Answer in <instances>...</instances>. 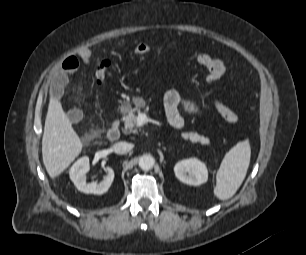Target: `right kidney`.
I'll use <instances>...</instances> for the list:
<instances>
[{
	"label": "right kidney",
	"instance_id": "1",
	"mask_svg": "<svg viewBox=\"0 0 306 255\" xmlns=\"http://www.w3.org/2000/svg\"><path fill=\"white\" fill-rule=\"evenodd\" d=\"M90 169L89 158L84 156L78 159L70 169V179L73 181L76 188L83 193H91L101 195L108 191L113 180L114 171L112 168H106L107 175L104 179L97 182H87V172Z\"/></svg>",
	"mask_w": 306,
	"mask_h": 255
}]
</instances>
